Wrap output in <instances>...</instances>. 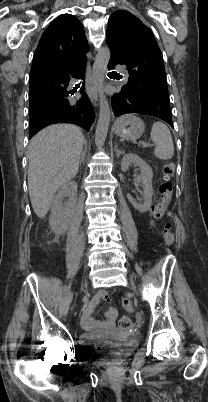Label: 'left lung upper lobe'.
Wrapping results in <instances>:
<instances>
[{
	"label": "left lung upper lobe",
	"instance_id": "obj_1",
	"mask_svg": "<svg viewBox=\"0 0 208 402\" xmlns=\"http://www.w3.org/2000/svg\"><path fill=\"white\" fill-rule=\"evenodd\" d=\"M106 42L120 53L128 83L169 102L163 56L148 27L130 12L116 11L109 18Z\"/></svg>",
	"mask_w": 208,
	"mask_h": 402
}]
</instances>
